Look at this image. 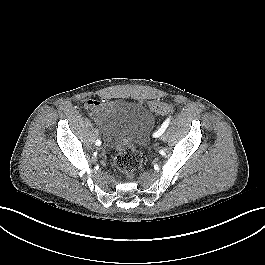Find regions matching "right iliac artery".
<instances>
[{"mask_svg":"<svg viewBox=\"0 0 265 265\" xmlns=\"http://www.w3.org/2000/svg\"><path fill=\"white\" fill-rule=\"evenodd\" d=\"M96 145H98V146H100L101 145V141L98 139V140H96Z\"/></svg>","mask_w":265,"mask_h":265,"instance_id":"1","label":"right iliac artery"}]
</instances>
